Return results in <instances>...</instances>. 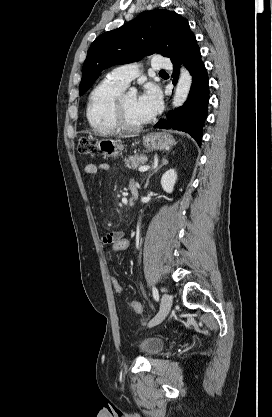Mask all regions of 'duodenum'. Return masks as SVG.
Returning a JSON list of instances; mask_svg holds the SVG:
<instances>
[{
  "label": "duodenum",
  "mask_w": 272,
  "mask_h": 417,
  "mask_svg": "<svg viewBox=\"0 0 272 417\" xmlns=\"http://www.w3.org/2000/svg\"><path fill=\"white\" fill-rule=\"evenodd\" d=\"M139 194L138 186L135 182H131L130 184V200L134 202Z\"/></svg>",
  "instance_id": "1"
}]
</instances>
